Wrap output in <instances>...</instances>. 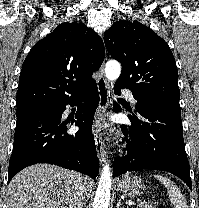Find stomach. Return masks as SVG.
<instances>
[{"mask_svg":"<svg viewBox=\"0 0 199 208\" xmlns=\"http://www.w3.org/2000/svg\"><path fill=\"white\" fill-rule=\"evenodd\" d=\"M117 189L124 195L136 197L142 195L146 187L141 178L125 176L118 181Z\"/></svg>","mask_w":199,"mask_h":208,"instance_id":"1","label":"stomach"}]
</instances>
